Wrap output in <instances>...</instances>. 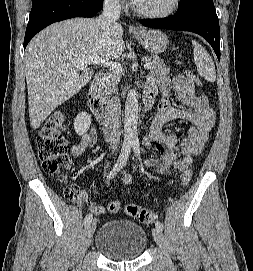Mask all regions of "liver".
<instances>
[{
    "label": "liver",
    "instance_id": "6515ba94",
    "mask_svg": "<svg viewBox=\"0 0 253 271\" xmlns=\"http://www.w3.org/2000/svg\"><path fill=\"white\" fill-rule=\"evenodd\" d=\"M122 36L118 23L103 29L97 19L74 18L50 25L30 41L25 76L33 129L92 79L94 71L76 62L119 58L125 50Z\"/></svg>",
    "mask_w": 253,
    "mask_h": 271
}]
</instances>
